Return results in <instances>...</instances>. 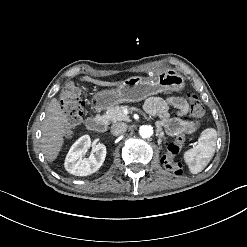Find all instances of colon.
Here are the masks:
<instances>
[{
  "label": "colon",
  "mask_w": 247,
  "mask_h": 247,
  "mask_svg": "<svg viewBox=\"0 0 247 247\" xmlns=\"http://www.w3.org/2000/svg\"><path fill=\"white\" fill-rule=\"evenodd\" d=\"M188 101L191 108V118L193 120L200 118L203 115L204 107L199 98L194 94H188ZM62 111L71 131L79 126L83 119V100L82 94L78 87L74 84H68L60 94ZM184 121L187 119L184 118ZM194 130V125L191 122H186L183 129L176 134L167 150V155L162 159V165L165 170L174 174L180 175L184 173L183 163L175 158L179 154L183 141L186 139V133H191ZM71 135V132H69Z\"/></svg>",
  "instance_id": "1"
}]
</instances>
